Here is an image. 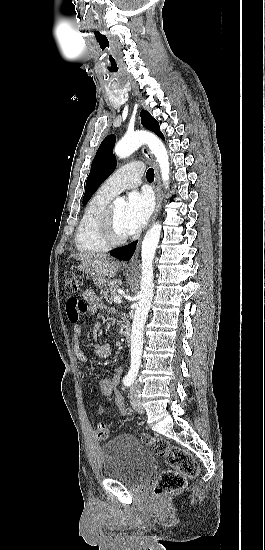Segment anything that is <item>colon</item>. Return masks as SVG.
Segmentation results:
<instances>
[{"label": "colon", "instance_id": "1", "mask_svg": "<svg viewBox=\"0 0 265 550\" xmlns=\"http://www.w3.org/2000/svg\"><path fill=\"white\" fill-rule=\"evenodd\" d=\"M64 287L69 295H76L84 288V278L75 272L64 274ZM68 305L75 309V313L69 316L72 324H77L79 315L84 309V303L81 300L73 299ZM97 438L100 441H106L109 437V430L103 423L98 424L96 429ZM142 441L147 444L151 450L158 456L164 458L170 467L163 471L154 487V495L162 496L183 488L188 479L194 478L198 474V465L192 455L186 450L170 445L162 438L152 437L148 434L142 435Z\"/></svg>", "mask_w": 265, "mask_h": 550}]
</instances>
